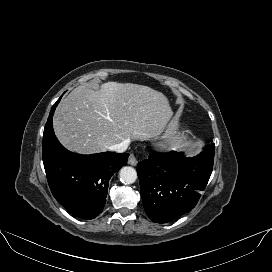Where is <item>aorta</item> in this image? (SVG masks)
<instances>
[{"mask_svg":"<svg viewBox=\"0 0 272 272\" xmlns=\"http://www.w3.org/2000/svg\"><path fill=\"white\" fill-rule=\"evenodd\" d=\"M120 181L124 184H132L137 179V172L134 168L130 166H126L121 168L120 173Z\"/></svg>","mask_w":272,"mask_h":272,"instance_id":"aorta-1","label":"aorta"}]
</instances>
